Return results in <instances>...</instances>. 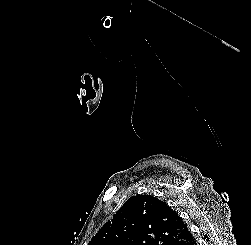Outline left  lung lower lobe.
<instances>
[{"label":"left lung lower lobe","instance_id":"1","mask_svg":"<svg viewBox=\"0 0 251 245\" xmlns=\"http://www.w3.org/2000/svg\"><path fill=\"white\" fill-rule=\"evenodd\" d=\"M171 245H197L196 240L188 227L182 231Z\"/></svg>","mask_w":251,"mask_h":245}]
</instances>
